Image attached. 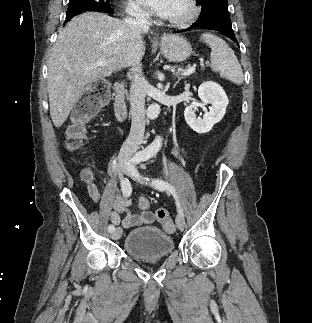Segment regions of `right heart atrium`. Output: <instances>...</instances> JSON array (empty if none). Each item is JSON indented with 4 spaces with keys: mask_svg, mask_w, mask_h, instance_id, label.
I'll return each mask as SVG.
<instances>
[{
    "mask_svg": "<svg viewBox=\"0 0 312 323\" xmlns=\"http://www.w3.org/2000/svg\"><path fill=\"white\" fill-rule=\"evenodd\" d=\"M112 5H116L117 9H122L123 13H129L130 17H150V10H140V6H129L128 2L121 0H112Z\"/></svg>",
    "mask_w": 312,
    "mask_h": 323,
    "instance_id": "d8ad5b80",
    "label": "right heart atrium"
}]
</instances>
